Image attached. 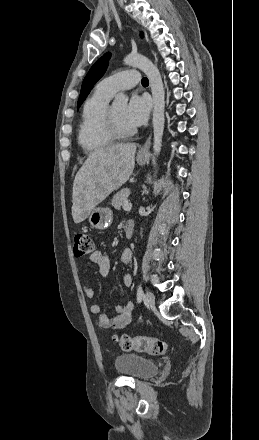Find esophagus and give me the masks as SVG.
<instances>
[{"label":"esophagus","mask_w":259,"mask_h":440,"mask_svg":"<svg viewBox=\"0 0 259 440\" xmlns=\"http://www.w3.org/2000/svg\"><path fill=\"white\" fill-rule=\"evenodd\" d=\"M150 144H151V136H149L146 140V142L144 143V145L140 148L139 150V154L141 155H145L148 154L149 152V148H150Z\"/></svg>","instance_id":"obj_1"}]
</instances>
